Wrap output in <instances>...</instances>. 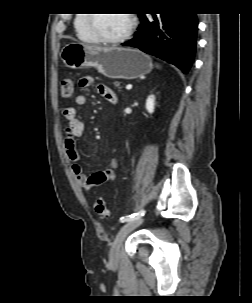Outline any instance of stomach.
<instances>
[{
    "label": "stomach",
    "mask_w": 252,
    "mask_h": 303,
    "mask_svg": "<svg viewBox=\"0 0 252 303\" xmlns=\"http://www.w3.org/2000/svg\"><path fill=\"white\" fill-rule=\"evenodd\" d=\"M60 56L71 69L95 67L111 79L132 80L152 70L150 58L138 49L71 42L63 47Z\"/></svg>",
    "instance_id": "obj_1"
}]
</instances>
